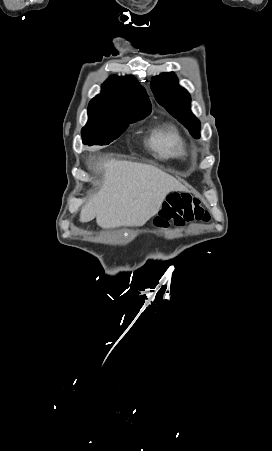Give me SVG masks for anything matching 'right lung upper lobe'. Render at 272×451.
I'll list each match as a JSON object with an SVG mask.
<instances>
[{"mask_svg":"<svg viewBox=\"0 0 272 451\" xmlns=\"http://www.w3.org/2000/svg\"><path fill=\"white\" fill-rule=\"evenodd\" d=\"M151 108L147 94L132 76L109 77L102 85V93L88 106L91 111H125Z\"/></svg>","mask_w":272,"mask_h":451,"instance_id":"right-lung-upper-lobe-1","label":"right lung upper lobe"}]
</instances>
